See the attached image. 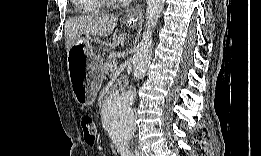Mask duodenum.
Segmentation results:
<instances>
[{
    "mask_svg": "<svg viewBox=\"0 0 261 156\" xmlns=\"http://www.w3.org/2000/svg\"><path fill=\"white\" fill-rule=\"evenodd\" d=\"M123 85H124V82H118L113 91H116L117 89L121 88ZM112 93H113V92H111V94H112Z\"/></svg>",
    "mask_w": 261,
    "mask_h": 156,
    "instance_id": "1",
    "label": "duodenum"
}]
</instances>
